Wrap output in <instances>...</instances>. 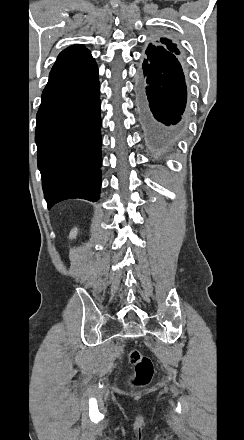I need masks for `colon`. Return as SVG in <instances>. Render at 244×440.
Here are the masks:
<instances>
[{
    "mask_svg": "<svg viewBox=\"0 0 244 440\" xmlns=\"http://www.w3.org/2000/svg\"><path fill=\"white\" fill-rule=\"evenodd\" d=\"M128 361L136 364L137 380L141 385H146L151 381V376L154 373V368L149 362L148 358L142 355L137 349H131L128 352Z\"/></svg>",
    "mask_w": 244,
    "mask_h": 440,
    "instance_id": "obj_1",
    "label": "colon"
}]
</instances>
